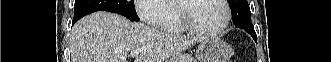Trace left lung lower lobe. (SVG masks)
<instances>
[{"label": "left lung lower lobe", "instance_id": "1", "mask_svg": "<svg viewBox=\"0 0 331 62\" xmlns=\"http://www.w3.org/2000/svg\"><path fill=\"white\" fill-rule=\"evenodd\" d=\"M254 40L256 41V35L253 36Z\"/></svg>", "mask_w": 331, "mask_h": 62}]
</instances>
